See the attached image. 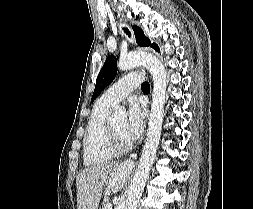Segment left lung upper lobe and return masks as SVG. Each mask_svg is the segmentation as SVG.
<instances>
[{"label":"left lung upper lobe","instance_id":"left-lung-upper-lobe-1","mask_svg":"<svg viewBox=\"0 0 253 209\" xmlns=\"http://www.w3.org/2000/svg\"><path fill=\"white\" fill-rule=\"evenodd\" d=\"M133 31L136 37V42L139 46L149 47L151 46L157 52H159V47L157 44H151V41L144 35V32L141 28L137 26H133ZM117 73V59L114 55H110L107 57L101 71L96 80L95 90L92 96V101L95 100L99 94L104 90L106 86H108L113 79L115 78Z\"/></svg>","mask_w":253,"mask_h":209}]
</instances>
